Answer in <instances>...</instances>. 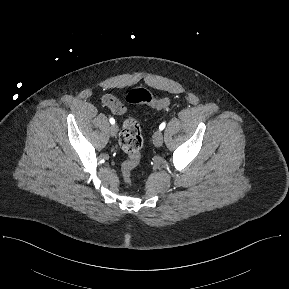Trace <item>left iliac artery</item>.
Returning <instances> with one entry per match:
<instances>
[{
    "label": "left iliac artery",
    "mask_w": 289,
    "mask_h": 289,
    "mask_svg": "<svg viewBox=\"0 0 289 289\" xmlns=\"http://www.w3.org/2000/svg\"><path fill=\"white\" fill-rule=\"evenodd\" d=\"M165 126H166V123H165V122H162V123L160 124V126H159V129H160V130H163V129L165 128Z\"/></svg>",
    "instance_id": "left-iliac-artery-1"
}]
</instances>
